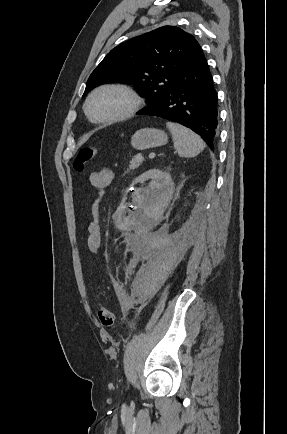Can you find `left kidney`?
Here are the masks:
<instances>
[{
  "instance_id": "obj_1",
  "label": "left kidney",
  "mask_w": 287,
  "mask_h": 434,
  "mask_svg": "<svg viewBox=\"0 0 287 434\" xmlns=\"http://www.w3.org/2000/svg\"><path fill=\"white\" fill-rule=\"evenodd\" d=\"M149 179L151 182L147 187L139 188L133 194V203L138 206L134 212L125 216L126 205L120 206V221L123 227L136 225L152 211L166 207L171 201L175 190L171 175L159 169H151L140 175L136 181L144 182Z\"/></svg>"
}]
</instances>
